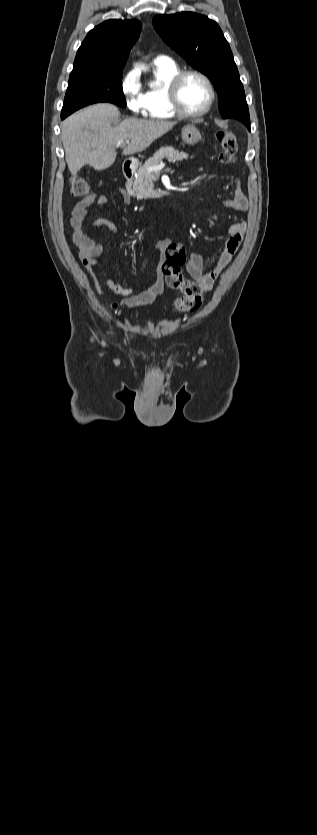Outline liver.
I'll return each instance as SVG.
<instances>
[{"mask_svg": "<svg viewBox=\"0 0 317 835\" xmlns=\"http://www.w3.org/2000/svg\"><path fill=\"white\" fill-rule=\"evenodd\" d=\"M119 116L117 107L100 103L77 111L62 122L65 158L73 175L86 164L96 170L110 167L122 142L129 141L122 155L142 152L177 124L129 118L114 125Z\"/></svg>", "mask_w": 317, "mask_h": 835, "instance_id": "6515ba94", "label": "liver"}]
</instances>
